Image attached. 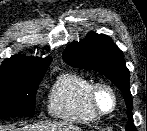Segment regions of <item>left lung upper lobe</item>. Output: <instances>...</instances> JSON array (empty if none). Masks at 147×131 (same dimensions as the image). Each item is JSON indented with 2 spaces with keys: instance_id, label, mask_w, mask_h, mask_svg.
Returning <instances> with one entry per match:
<instances>
[{
  "instance_id": "1",
  "label": "left lung upper lobe",
  "mask_w": 147,
  "mask_h": 131,
  "mask_svg": "<svg viewBox=\"0 0 147 131\" xmlns=\"http://www.w3.org/2000/svg\"><path fill=\"white\" fill-rule=\"evenodd\" d=\"M63 59L73 67L93 69L109 78L123 93L128 119L133 121L129 70L125 65L123 53L109 36L89 33L79 43H71L64 51ZM126 130L135 131L136 128L133 123H129Z\"/></svg>"
}]
</instances>
